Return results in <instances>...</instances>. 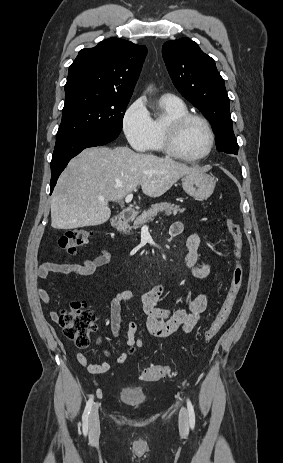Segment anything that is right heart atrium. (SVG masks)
Returning a JSON list of instances; mask_svg holds the SVG:
<instances>
[{
    "instance_id": "1",
    "label": "right heart atrium",
    "mask_w": 283,
    "mask_h": 463,
    "mask_svg": "<svg viewBox=\"0 0 283 463\" xmlns=\"http://www.w3.org/2000/svg\"><path fill=\"white\" fill-rule=\"evenodd\" d=\"M122 129L133 149L145 151L149 148L153 137L152 119L142 99L128 106L123 115Z\"/></svg>"
}]
</instances>
